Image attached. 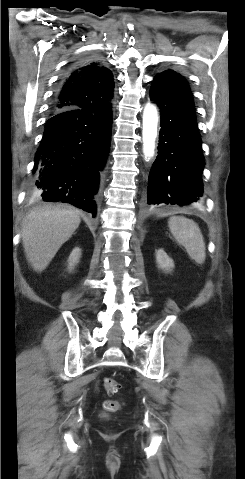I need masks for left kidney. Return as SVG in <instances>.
I'll return each mask as SVG.
<instances>
[{
    "label": "left kidney",
    "instance_id": "obj_1",
    "mask_svg": "<svg viewBox=\"0 0 245 479\" xmlns=\"http://www.w3.org/2000/svg\"><path fill=\"white\" fill-rule=\"evenodd\" d=\"M156 262L158 267L166 272H169L174 268L173 260L162 249L156 251Z\"/></svg>",
    "mask_w": 245,
    "mask_h": 479
}]
</instances>
